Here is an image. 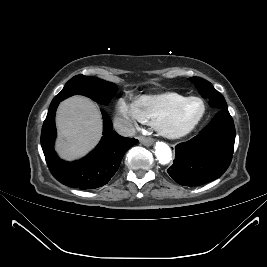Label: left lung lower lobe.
Listing matches in <instances>:
<instances>
[{
    "instance_id": "obj_1",
    "label": "left lung lower lobe",
    "mask_w": 267,
    "mask_h": 267,
    "mask_svg": "<svg viewBox=\"0 0 267 267\" xmlns=\"http://www.w3.org/2000/svg\"><path fill=\"white\" fill-rule=\"evenodd\" d=\"M234 142L233 119L228 109H219L197 136L175 147V160L167 172L175 182L184 186L213 181L229 167Z\"/></svg>"
}]
</instances>
